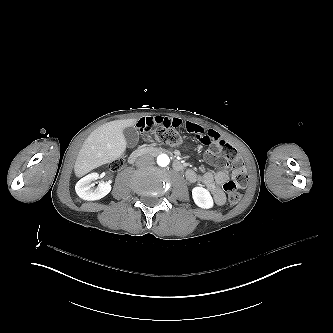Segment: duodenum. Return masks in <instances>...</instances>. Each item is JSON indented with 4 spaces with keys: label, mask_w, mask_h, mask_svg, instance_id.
<instances>
[{
    "label": "duodenum",
    "mask_w": 333,
    "mask_h": 333,
    "mask_svg": "<svg viewBox=\"0 0 333 333\" xmlns=\"http://www.w3.org/2000/svg\"><path fill=\"white\" fill-rule=\"evenodd\" d=\"M152 153H167V150L163 149V148H139L134 150L128 157V162L130 164L134 163L138 158H140L141 156L147 155V154H152ZM173 167L180 171L183 169V165L182 163L177 160L174 159L173 161Z\"/></svg>",
    "instance_id": "1"
}]
</instances>
